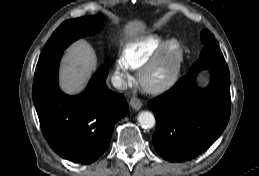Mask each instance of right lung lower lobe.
Here are the masks:
<instances>
[{"mask_svg": "<svg viewBox=\"0 0 259 176\" xmlns=\"http://www.w3.org/2000/svg\"><path fill=\"white\" fill-rule=\"evenodd\" d=\"M62 51L39 60L34 74L33 101L44 137L64 159L89 164L108 148L115 123L128 112L123 94L108 89L107 67L77 96L61 92L57 71Z\"/></svg>", "mask_w": 259, "mask_h": 176, "instance_id": "98d812e1", "label": "right lung lower lobe"}]
</instances>
